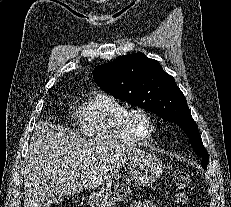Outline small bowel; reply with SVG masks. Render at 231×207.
<instances>
[{"instance_id": "small-bowel-1", "label": "small bowel", "mask_w": 231, "mask_h": 207, "mask_svg": "<svg viewBox=\"0 0 231 207\" xmlns=\"http://www.w3.org/2000/svg\"><path fill=\"white\" fill-rule=\"evenodd\" d=\"M129 207H157V206L153 201L144 200V201L133 203L129 205Z\"/></svg>"}]
</instances>
